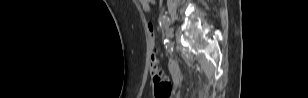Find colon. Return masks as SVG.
I'll return each mask as SVG.
<instances>
[{"instance_id":"5ec220e1","label":"colon","mask_w":308,"mask_h":98,"mask_svg":"<svg viewBox=\"0 0 308 98\" xmlns=\"http://www.w3.org/2000/svg\"><path fill=\"white\" fill-rule=\"evenodd\" d=\"M148 28L150 40L152 42L150 71L153 80L154 94L157 98H165L171 93L172 85L169 80L159 71V61L154 48V30L152 23H149Z\"/></svg>"}]
</instances>
